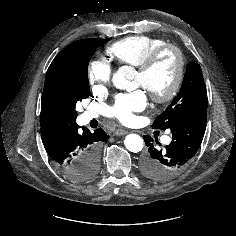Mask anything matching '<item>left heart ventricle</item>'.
<instances>
[{
  "mask_svg": "<svg viewBox=\"0 0 236 236\" xmlns=\"http://www.w3.org/2000/svg\"><path fill=\"white\" fill-rule=\"evenodd\" d=\"M176 69L177 57L175 53L172 51L165 52L148 75L143 76L137 72L136 83L146 90L164 93L170 88L176 74Z\"/></svg>",
  "mask_w": 236,
  "mask_h": 236,
  "instance_id": "b2bd125f",
  "label": "left heart ventricle"
}]
</instances>
